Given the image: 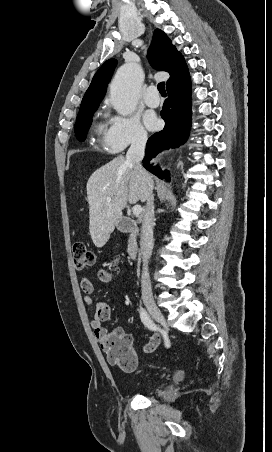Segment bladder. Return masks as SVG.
Masks as SVG:
<instances>
[{
    "mask_svg": "<svg viewBox=\"0 0 272 452\" xmlns=\"http://www.w3.org/2000/svg\"><path fill=\"white\" fill-rule=\"evenodd\" d=\"M155 384V381H149L148 383L145 384V387H151Z\"/></svg>",
    "mask_w": 272,
    "mask_h": 452,
    "instance_id": "31cf9c89",
    "label": "bladder"
}]
</instances>
